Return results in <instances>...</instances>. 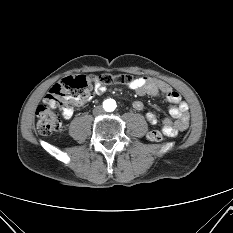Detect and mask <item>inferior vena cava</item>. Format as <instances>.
<instances>
[{
	"mask_svg": "<svg viewBox=\"0 0 233 233\" xmlns=\"http://www.w3.org/2000/svg\"><path fill=\"white\" fill-rule=\"evenodd\" d=\"M104 109L102 108V106H96L93 110V114L94 115H102L104 114Z\"/></svg>",
	"mask_w": 233,
	"mask_h": 233,
	"instance_id": "obj_1",
	"label": "inferior vena cava"
}]
</instances>
